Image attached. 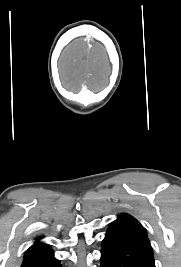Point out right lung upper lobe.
<instances>
[{
    "label": "right lung upper lobe",
    "instance_id": "cb5924a9",
    "mask_svg": "<svg viewBox=\"0 0 181 267\" xmlns=\"http://www.w3.org/2000/svg\"><path fill=\"white\" fill-rule=\"evenodd\" d=\"M34 245H40V246H49V245H47V244H44V243H42V242H36Z\"/></svg>",
    "mask_w": 181,
    "mask_h": 267
}]
</instances>
